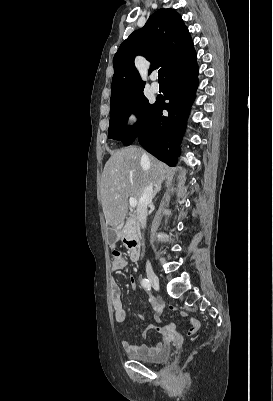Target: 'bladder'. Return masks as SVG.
<instances>
[{
  "label": "bladder",
  "instance_id": "bladder-1",
  "mask_svg": "<svg viewBox=\"0 0 273 401\" xmlns=\"http://www.w3.org/2000/svg\"><path fill=\"white\" fill-rule=\"evenodd\" d=\"M172 355V347L171 344H166L161 352L154 358H145L140 356H131V359L149 365H158L167 362Z\"/></svg>",
  "mask_w": 273,
  "mask_h": 401
}]
</instances>
